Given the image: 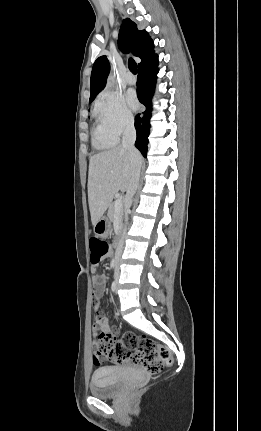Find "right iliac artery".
<instances>
[{"mask_svg": "<svg viewBox=\"0 0 261 431\" xmlns=\"http://www.w3.org/2000/svg\"><path fill=\"white\" fill-rule=\"evenodd\" d=\"M111 290H112V292H114L116 290V282L115 281L112 282Z\"/></svg>", "mask_w": 261, "mask_h": 431, "instance_id": "82829eb1", "label": "right iliac artery"}]
</instances>
